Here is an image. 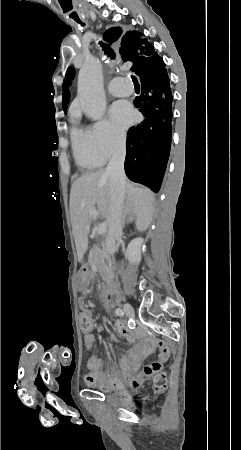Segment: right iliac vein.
<instances>
[{"instance_id":"1","label":"right iliac vein","mask_w":241,"mask_h":450,"mask_svg":"<svg viewBox=\"0 0 241 450\" xmlns=\"http://www.w3.org/2000/svg\"><path fill=\"white\" fill-rule=\"evenodd\" d=\"M124 312L126 313V315H127L128 317H133V316H134V309H133V307H132L130 304H128V303L124 304Z\"/></svg>"}]
</instances>
